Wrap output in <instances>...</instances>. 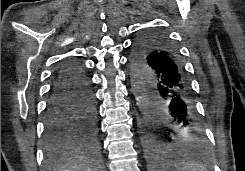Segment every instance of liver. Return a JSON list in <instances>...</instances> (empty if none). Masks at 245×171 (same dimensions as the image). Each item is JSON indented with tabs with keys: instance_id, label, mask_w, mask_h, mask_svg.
I'll return each instance as SVG.
<instances>
[{
	"instance_id": "1",
	"label": "liver",
	"mask_w": 245,
	"mask_h": 171,
	"mask_svg": "<svg viewBox=\"0 0 245 171\" xmlns=\"http://www.w3.org/2000/svg\"><path fill=\"white\" fill-rule=\"evenodd\" d=\"M58 171H95L93 168L79 164V163H68L61 166Z\"/></svg>"
}]
</instances>
